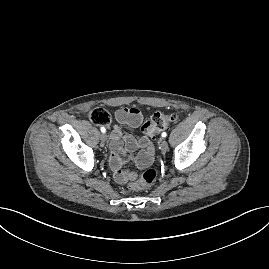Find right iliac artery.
Returning a JSON list of instances; mask_svg holds the SVG:
<instances>
[{
  "label": "right iliac artery",
  "mask_w": 269,
  "mask_h": 269,
  "mask_svg": "<svg viewBox=\"0 0 269 269\" xmlns=\"http://www.w3.org/2000/svg\"><path fill=\"white\" fill-rule=\"evenodd\" d=\"M100 130H101L102 133L106 132V129L104 127H101Z\"/></svg>",
  "instance_id": "82829eb1"
}]
</instances>
